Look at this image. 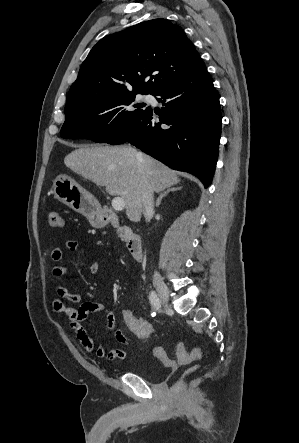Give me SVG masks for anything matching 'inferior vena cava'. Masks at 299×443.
Returning <instances> with one entry per match:
<instances>
[{
    "label": "inferior vena cava",
    "instance_id": "602c4592",
    "mask_svg": "<svg viewBox=\"0 0 299 443\" xmlns=\"http://www.w3.org/2000/svg\"><path fill=\"white\" fill-rule=\"evenodd\" d=\"M137 156L141 158L140 153H138ZM141 202L143 206V215L146 221L149 222L151 215L154 213V190L145 176L143 177ZM155 276H158L157 272H155Z\"/></svg>",
    "mask_w": 299,
    "mask_h": 443
}]
</instances>
